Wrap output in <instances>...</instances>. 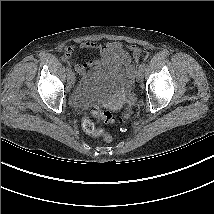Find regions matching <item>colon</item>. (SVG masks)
Returning a JSON list of instances; mask_svg holds the SVG:
<instances>
[{
  "mask_svg": "<svg viewBox=\"0 0 214 214\" xmlns=\"http://www.w3.org/2000/svg\"><path fill=\"white\" fill-rule=\"evenodd\" d=\"M128 110L127 113L124 115L123 119H120V122H125L130 117V109L132 107V99L129 98L127 101ZM91 113L102 119L105 123H115L116 118L113 116L111 112L103 111L99 106L95 105L91 109ZM83 128L84 130L94 137H101L105 142H110L112 140V136L104 131L103 129H97L93 125V123L90 121L89 118H85L83 120Z\"/></svg>",
  "mask_w": 214,
  "mask_h": 214,
  "instance_id": "5ec220e1",
  "label": "colon"
}]
</instances>
